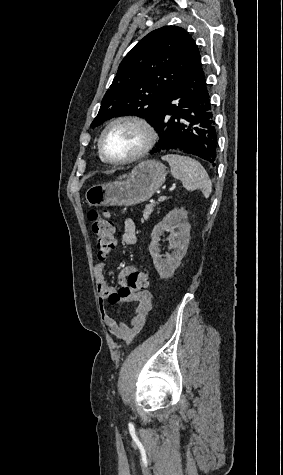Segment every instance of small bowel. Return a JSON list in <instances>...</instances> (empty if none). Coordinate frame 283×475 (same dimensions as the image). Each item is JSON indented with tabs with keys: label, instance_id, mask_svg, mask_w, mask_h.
<instances>
[{
	"label": "small bowel",
	"instance_id": "1",
	"mask_svg": "<svg viewBox=\"0 0 283 475\" xmlns=\"http://www.w3.org/2000/svg\"><path fill=\"white\" fill-rule=\"evenodd\" d=\"M122 242L127 246L134 245L137 242L136 225L131 218H126L123 222ZM130 267L134 266H126L121 269L119 272L120 281L121 279H126ZM104 271V263H97L94 266L93 274L100 315L108 326L110 333L117 339L129 344L140 333L153 308L152 294L148 290L141 291L140 296H131L129 302H137V307L128 319L117 320L109 314L107 304L118 305L128 302L121 301L120 292L117 288L108 284L105 279Z\"/></svg>",
	"mask_w": 283,
	"mask_h": 475
}]
</instances>
